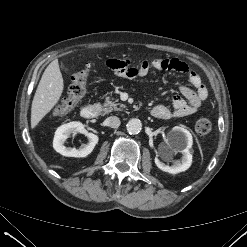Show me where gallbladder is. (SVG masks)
<instances>
[{"mask_svg":"<svg viewBox=\"0 0 247 247\" xmlns=\"http://www.w3.org/2000/svg\"><path fill=\"white\" fill-rule=\"evenodd\" d=\"M62 69L67 72V69L64 67V65H61Z\"/></svg>","mask_w":247,"mask_h":247,"instance_id":"gallbladder-1","label":"gallbladder"}]
</instances>
